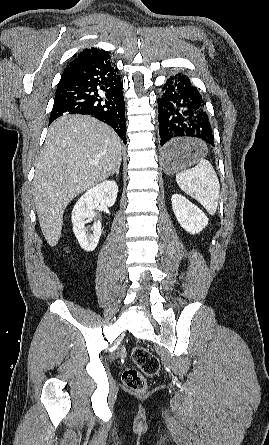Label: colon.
<instances>
[{"instance_id":"5ec220e1","label":"colon","mask_w":269,"mask_h":445,"mask_svg":"<svg viewBox=\"0 0 269 445\" xmlns=\"http://www.w3.org/2000/svg\"><path fill=\"white\" fill-rule=\"evenodd\" d=\"M131 358L137 368L126 369L122 374V381L129 389L144 392L147 389L145 377L157 375L160 362L150 350L143 346H135L131 350Z\"/></svg>"}]
</instances>
